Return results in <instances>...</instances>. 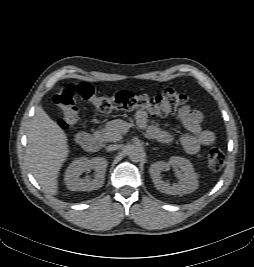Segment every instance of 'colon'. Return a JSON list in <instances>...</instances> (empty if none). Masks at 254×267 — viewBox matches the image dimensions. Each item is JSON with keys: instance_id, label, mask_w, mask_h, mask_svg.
<instances>
[{"instance_id": "5ec220e1", "label": "colon", "mask_w": 254, "mask_h": 267, "mask_svg": "<svg viewBox=\"0 0 254 267\" xmlns=\"http://www.w3.org/2000/svg\"><path fill=\"white\" fill-rule=\"evenodd\" d=\"M93 105L100 112L112 110H142L154 116H166L179 111L186 103V96L173 88H166L156 96H147L133 91L121 90L111 96H100L88 83L68 84L55 96L54 102L61 109L58 125L69 129L77 123L79 111L77 100ZM208 165L213 171L221 170L226 161L225 154L218 148L209 150Z\"/></svg>"}]
</instances>
